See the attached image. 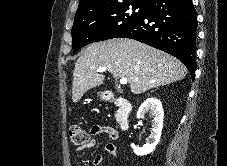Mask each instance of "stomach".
Returning a JSON list of instances; mask_svg holds the SVG:
<instances>
[{
	"label": "stomach",
	"mask_w": 227,
	"mask_h": 166,
	"mask_svg": "<svg viewBox=\"0 0 227 166\" xmlns=\"http://www.w3.org/2000/svg\"><path fill=\"white\" fill-rule=\"evenodd\" d=\"M98 95L102 98L103 97V94L102 93H98Z\"/></svg>",
	"instance_id": "0dacf381"
}]
</instances>
